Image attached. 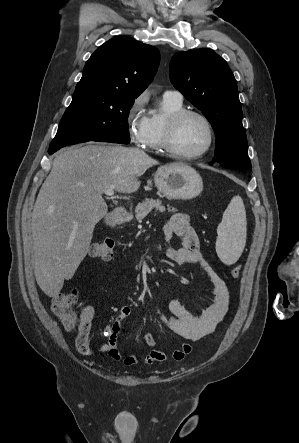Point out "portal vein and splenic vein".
I'll list each match as a JSON object with an SVG mask.
<instances>
[{
    "label": "portal vein and splenic vein",
    "mask_w": 299,
    "mask_h": 443,
    "mask_svg": "<svg viewBox=\"0 0 299 443\" xmlns=\"http://www.w3.org/2000/svg\"><path fill=\"white\" fill-rule=\"evenodd\" d=\"M107 196L113 197L114 196V190L113 189H107L103 191Z\"/></svg>",
    "instance_id": "portal-vein-and-splenic-vein-1"
}]
</instances>
